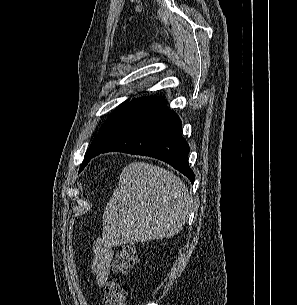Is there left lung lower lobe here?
<instances>
[{
    "label": "left lung lower lobe",
    "mask_w": 297,
    "mask_h": 305,
    "mask_svg": "<svg viewBox=\"0 0 297 305\" xmlns=\"http://www.w3.org/2000/svg\"><path fill=\"white\" fill-rule=\"evenodd\" d=\"M166 100L149 96L132 100L115 118L99 148L101 153L124 152L162 160L194 182L188 164L189 145L181 135L178 115L166 108Z\"/></svg>",
    "instance_id": "obj_1"
}]
</instances>
